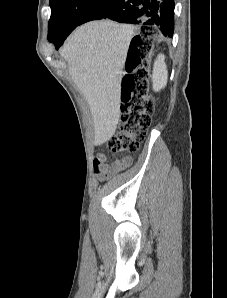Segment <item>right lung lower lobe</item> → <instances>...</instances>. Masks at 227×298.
Wrapping results in <instances>:
<instances>
[{
  "label": "right lung lower lobe",
  "instance_id": "obj_1",
  "mask_svg": "<svg viewBox=\"0 0 227 298\" xmlns=\"http://www.w3.org/2000/svg\"><path fill=\"white\" fill-rule=\"evenodd\" d=\"M112 19L121 23L158 27L163 35L172 37L174 32V0H102L79 25L97 19ZM143 28V27H142ZM70 31L49 37L58 49Z\"/></svg>",
  "mask_w": 227,
  "mask_h": 298
}]
</instances>
